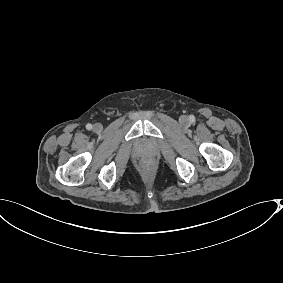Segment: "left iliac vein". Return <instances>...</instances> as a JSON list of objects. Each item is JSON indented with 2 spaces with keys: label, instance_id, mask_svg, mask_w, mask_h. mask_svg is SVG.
I'll list each match as a JSON object with an SVG mask.
<instances>
[{
  "label": "left iliac vein",
  "instance_id": "4c4485c4",
  "mask_svg": "<svg viewBox=\"0 0 283 283\" xmlns=\"http://www.w3.org/2000/svg\"><path fill=\"white\" fill-rule=\"evenodd\" d=\"M180 121H181V123H187L188 117L185 116V115H182V116L180 117Z\"/></svg>",
  "mask_w": 283,
  "mask_h": 283
}]
</instances>
